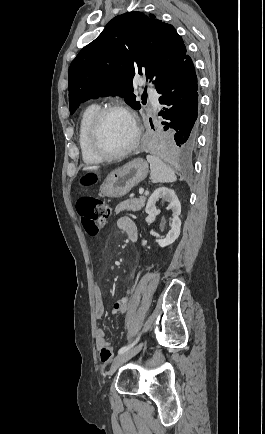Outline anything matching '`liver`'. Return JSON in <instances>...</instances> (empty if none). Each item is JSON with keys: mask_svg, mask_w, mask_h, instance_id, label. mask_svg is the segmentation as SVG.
<instances>
[{"mask_svg": "<svg viewBox=\"0 0 265 434\" xmlns=\"http://www.w3.org/2000/svg\"><path fill=\"white\" fill-rule=\"evenodd\" d=\"M98 168H100V166H85L83 170L84 172H92V170H98Z\"/></svg>", "mask_w": 265, "mask_h": 434, "instance_id": "6515ba94", "label": "liver"}]
</instances>
